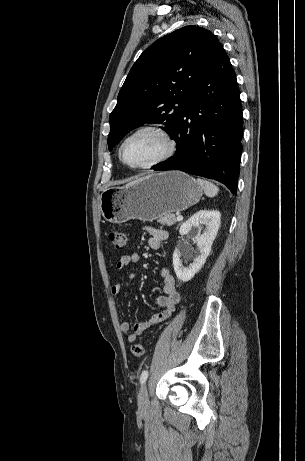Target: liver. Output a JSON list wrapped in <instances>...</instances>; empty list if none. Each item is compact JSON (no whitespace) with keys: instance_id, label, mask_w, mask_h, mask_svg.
Segmentation results:
<instances>
[{"instance_id":"obj_1","label":"liver","mask_w":305,"mask_h":461,"mask_svg":"<svg viewBox=\"0 0 305 461\" xmlns=\"http://www.w3.org/2000/svg\"><path fill=\"white\" fill-rule=\"evenodd\" d=\"M138 180H139V179H138ZM138 180L133 181V182H130V183H128L126 186L132 185V184H134L135 182H137Z\"/></svg>"}]
</instances>
